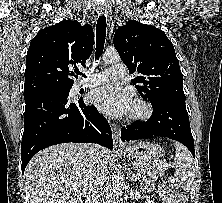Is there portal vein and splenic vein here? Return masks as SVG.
<instances>
[{"instance_id":"1","label":"portal vein and splenic vein","mask_w":222,"mask_h":203,"mask_svg":"<svg viewBox=\"0 0 222 203\" xmlns=\"http://www.w3.org/2000/svg\"><path fill=\"white\" fill-rule=\"evenodd\" d=\"M165 166H172L171 164L164 163ZM136 167V164L134 165Z\"/></svg>"}]
</instances>
